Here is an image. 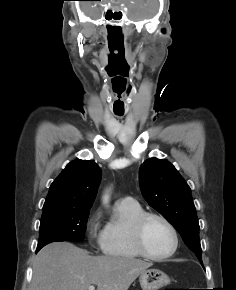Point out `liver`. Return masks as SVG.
<instances>
[{"label":"liver","instance_id":"1","mask_svg":"<svg viewBox=\"0 0 236 290\" xmlns=\"http://www.w3.org/2000/svg\"><path fill=\"white\" fill-rule=\"evenodd\" d=\"M152 264L130 257L91 256L69 242H53L34 258L30 290H128Z\"/></svg>","mask_w":236,"mask_h":290}]
</instances>
